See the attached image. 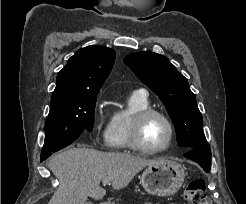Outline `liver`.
Masks as SVG:
<instances>
[{
	"label": "liver",
	"instance_id": "obj_1",
	"mask_svg": "<svg viewBox=\"0 0 246 204\" xmlns=\"http://www.w3.org/2000/svg\"><path fill=\"white\" fill-rule=\"evenodd\" d=\"M157 161L129 153L68 149L54 155L48 163L60 182L48 204H85L88 197L100 200L106 194L100 187L101 180L110 179L112 188L120 190L142 169Z\"/></svg>",
	"mask_w": 246,
	"mask_h": 204
}]
</instances>
